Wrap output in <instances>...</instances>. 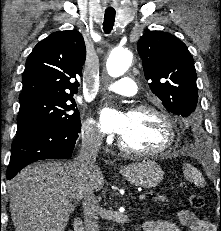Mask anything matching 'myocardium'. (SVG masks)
Returning a JSON list of instances; mask_svg holds the SVG:
<instances>
[{"label": "myocardium", "mask_w": 221, "mask_h": 231, "mask_svg": "<svg viewBox=\"0 0 221 231\" xmlns=\"http://www.w3.org/2000/svg\"><path fill=\"white\" fill-rule=\"evenodd\" d=\"M132 112L152 113L159 116L162 119V121L165 123L167 128V141L162 147L158 149L139 150L126 146L122 141L121 137H119L117 144L122 151L132 155L155 157L166 153L167 151H169L174 147L176 142V128L172 117L165 110L152 105H138L132 109Z\"/></svg>", "instance_id": "1"}]
</instances>
